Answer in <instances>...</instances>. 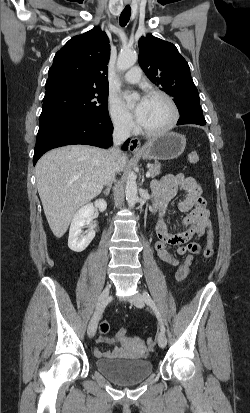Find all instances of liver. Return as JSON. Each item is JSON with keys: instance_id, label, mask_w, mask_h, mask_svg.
<instances>
[{"instance_id": "obj_1", "label": "liver", "mask_w": 250, "mask_h": 413, "mask_svg": "<svg viewBox=\"0 0 250 413\" xmlns=\"http://www.w3.org/2000/svg\"><path fill=\"white\" fill-rule=\"evenodd\" d=\"M127 156L115 159L122 171ZM107 154L87 145H69L44 154L36 164V183L48 224L57 238L67 231L75 211L98 196L105 184Z\"/></svg>"}]
</instances>
